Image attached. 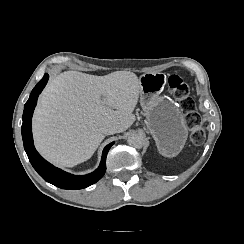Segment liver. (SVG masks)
<instances>
[{
    "instance_id": "obj_1",
    "label": "liver",
    "mask_w": 244,
    "mask_h": 244,
    "mask_svg": "<svg viewBox=\"0 0 244 244\" xmlns=\"http://www.w3.org/2000/svg\"><path fill=\"white\" fill-rule=\"evenodd\" d=\"M140 80L133 72L104 77L68 71L58 75L40 97L33 119L36 147L49 161L71 167L91 157L105 138L107 123L117 133L136 120Z\"/></svg>"
}]
</instances>
